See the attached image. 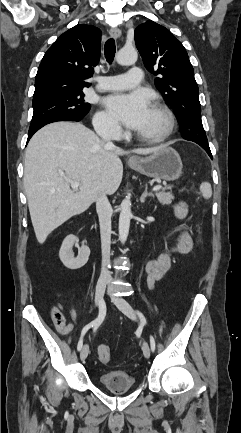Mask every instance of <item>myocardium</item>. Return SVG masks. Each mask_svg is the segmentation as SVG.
<instances>
[{"instance_id": "myocardium-1", "label": "myocardium", "mask_w": 241, "mask_h": 433, "mask_svg": "<svg viewBox=\"0 0 241 433\" xmlns=\"http://www.w3.org/2000/svg\"><path fill=\"white\" fill-rule=\"evenodd\" d=\"M152 108L164 115L166 118V127L158 134H146L138 132L137 136L141 140L149 143H160L165 141L173 133L176 125V119L172 110L164 103L154 102L152 104Z\"/></svg>"}]
</instances>
